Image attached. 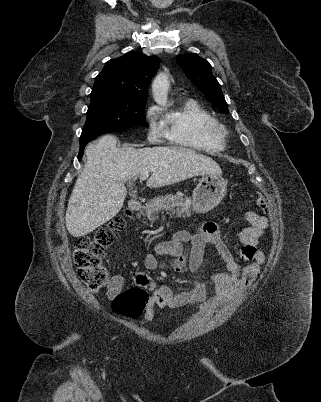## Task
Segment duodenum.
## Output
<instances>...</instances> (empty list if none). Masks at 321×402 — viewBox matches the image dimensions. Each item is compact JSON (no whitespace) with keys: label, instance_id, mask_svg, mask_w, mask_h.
<instances>
[{"label":"duodenum","instance_id":"410a0bca","mask_svg":"<svg viewBox=\"0 0 321 402\" xmlns=\"http://www.w3.org/2000/svg\"><path fill=\"white\" fill-rule=\"evenodd\" d=\"M141 209V203L138 199H132L129 203L128 210L125 213V216L129 219V221L132 220V215L139 211Z\"/></svg>","mask_w":321,"mask_h":402}]
</instances>
